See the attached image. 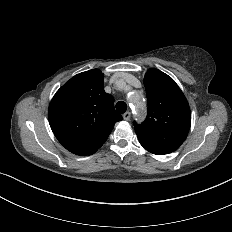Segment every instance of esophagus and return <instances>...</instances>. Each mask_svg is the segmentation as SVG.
Wrapping results in <instances>:
<instances>
[{
	"mask_svg": "<svg viewBox=\"0 0 232 232\" xmlns=\"http://www.w3.org/2000/svg\"><path fill=\"white\" fill-rule=\"evenodd\" d=\"M130 115H131V113H130L129 111L125 112V113L123 114V119H124L125 121H128V120L130 119Z\"/></svg>",
	"mask_w": 232,
	"mask_h": 232,
	"instance_id": "34e87169",
	"label": "esophagus"
}]
</instances>
